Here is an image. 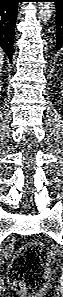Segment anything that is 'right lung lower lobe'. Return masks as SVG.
Returning a JSON list of instances; mask_svg holds the SVG:
<instances>
[{
  "instance_id": "obj_1",
  "label": "right lung lower lobe",
  "mask_w": 63,
  "mask_h": 297,
  "mask_svg": "<svg viewBox=\"0 0 63 297\" xmlns=\"http://www.w3.org/2000/svg\"><path fill=\"white\" fill-rule=\"evenodd\" d=\"M20 0H0V47L12 60L17 5Z\"/></svg>"
}]
</instances>
